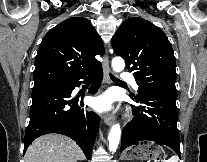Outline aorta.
<instances>
[{"instance_id": "762f6f07", "label": "aorta", "mask_w": 207, "mask_h": 162, "mask_svg": "<svg viewBox=\"0 0 207 162\" xmlns=\"http://www.w3.org/2000/svg\"><path fill=\"white\" fill-rule=\"evenodd\" d=\"M125 67L124 60L121 57H115L112 60V68L115 72L123 71ZM121 138V128L119 124H114L108 134L109 150L115 152L118 148Z\"/></svg>"}]
</instances>
